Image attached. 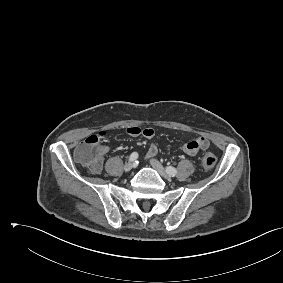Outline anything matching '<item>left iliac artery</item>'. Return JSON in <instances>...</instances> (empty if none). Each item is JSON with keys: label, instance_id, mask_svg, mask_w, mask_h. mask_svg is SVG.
I'll return each instance as SVG.
<instances>
[{"label": "left iliac artery", "instance_id": "left-iliac-artery-1", "mask_svg": "<svg viewBox=\"0 0 283 283\" xmlns=\"http://www.w3.org/2000/svg\"><path fill=\"white\" fill-rule=\"evenodd\" d=\"M166 172H167L170 176H175V175L177 174L176 168H174V167H172V166L166 167Z\"/></svg>", "mask_w": 283, "mask_h": 283}]
</instances>
